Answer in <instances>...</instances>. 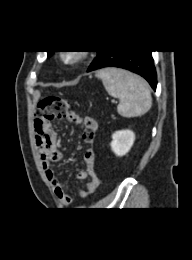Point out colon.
<instances>
[{
	"mask_svg": "<svg viewBox=\"0 0 192 260\" xmlns=\"http://www.w3.org/2000/svg\"><path fill=\"white\" fill-rule=\"evenodd\" d=\"M71 114L68 102L59 96H48L42 99L36 110V118L39 122L51 121L56 118H67ZM94 133L85 129L83 139L85 142H91Z\"/></svg>",
	"mask_w": 192,
	"mask_h": 260,
	"instance_id": "1",
	"label": "colon"
}]
</instances>
